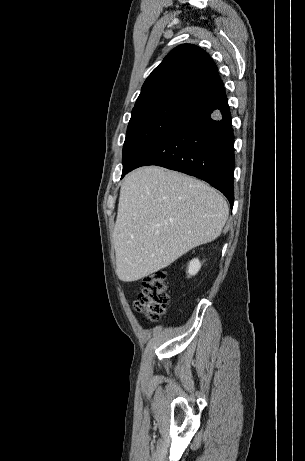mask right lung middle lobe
Here are the masks:
<instances>
[{"label": "right lung middle lobe", "instance_id": "dd1d6c3e", "mask_svg": "<svg viewBox=\"0 0 305 461\" xmlns=\"http://www.w3.org/2000/svg\"><path fill=\"white\" fill-rule=\"evenodd\" d=\"M180 104H159L132 111L123 146V169L132 166L162 140L188 109Z\"/></svg>", "mask_w": 305, "mask_h": 461}]
</instances>
